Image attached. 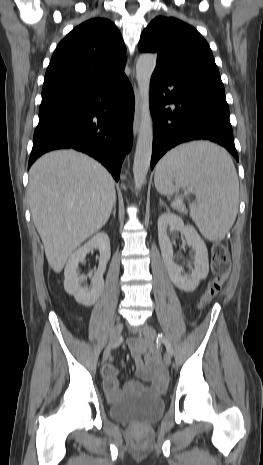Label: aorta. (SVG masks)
I'll return each instance as SVG.
<instances>
[{"instance_id": "1", "label": "aorta", "mask_w": 263, "mask_h": 465, "mask_svg": "<svg viewBox=\"0 0 263 465\" xmlns=\"http://www.w3.org/2000/svg\"><path fill=\"white\" fill-rule=\"evenodd\" d=\"M157 56L145 53L136 63V79L141 101V122L133 164L135 189L140 190L148 173L152 155L153 130L149 111V88Z\"/></svg>"}]
</instances>
